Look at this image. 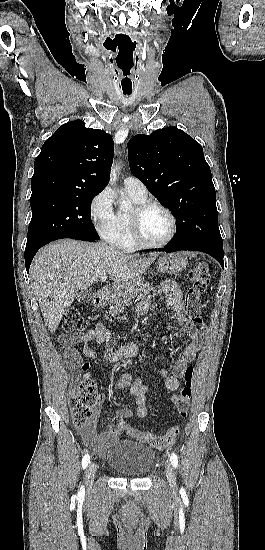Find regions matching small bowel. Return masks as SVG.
Returning a JSON list of instances; mask_svg holds the SVG:
<instances>
[{"label": "small bowel", "instance_id": "small-bowel-1", "mask_svg": "<svg viewBox=\"0 0 265 550\" xmlns=\"http://www.w3.org/2000/svg\"><path fill=\"white\" fill-rule=\"evenodd\" d=\"M158 294L164 296L163 307L168 309L173 318L177 320L184 331L185 348L179 359H177L171 369L161 368L160 375L165 378V388L168 392H174L179 387V381L183 377L189 363L194 361L198 353L204 346V337L198 331L197 327L190 322L183 314V295L178 285L172 280H166L158 291ZM150 310V301L143 300L137 305V312L140 315H146ZM91 341L98 343L113 344L109 330L98 325L87 330L82 334L64 335L60 337V343L66 348V359L71 368H76L81 362V352L77 346H82V353L90 359H98V353L89 346ZM139 346L135 343H127L109 354V360L113 363H119L123 360L135 358L139 355ZM116 388H126L135 397L137 404L136 415L144 419L147 417L146 395L149 392L148 386L140 378H135L131 373L120 374L115 382ZM116 415L121 418H129L133 411L129 408H120ZM80 436L86 446L102 451L113 440L110 432L98 433L95 430V423L80 428Z\"/></svg>", "mask_w": 265, "mask_h": 550}]
</instances>
